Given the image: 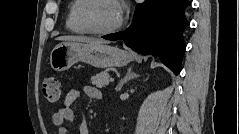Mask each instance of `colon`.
I'll return each mask as SVG.
<instances>
[{"mask_svg": "<svg viewBox=\"0 0 239 134\" xmlns=\"http://www.w3.org/2000/svg\"><path fill=\"white\" fill-rule=\"evenodd\" d=\"M43 93L50 104H57L60 101L61 86L55 77L47 78L43 83Z\"/></svg>", "mask_w": 239, "mask_h": 134, "instance_id": "obj_1", "label": "colon"}]
</instances>
